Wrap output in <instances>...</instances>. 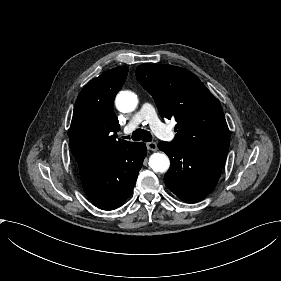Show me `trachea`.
Here are the masks:
<instances>
[{
    "instance_id": "trachea-1",
    "label": "trachea",
    "mask_w": 281,
    "mask_h": 281,
    "mask_svg": "<svg viewBox=\"0 0 281 281\" xmlns=\"http://www.w3.org/2000/svg\"><path fill=\"white\" fill-rule=\"evenodd\" d=\"M124 138H128V137L125 136ZM131 139L134 141L142 140L144 142H150L152 140V136L149 131L137 129L136 131L133 132Z\"/></svg>"
}]
</instances>
